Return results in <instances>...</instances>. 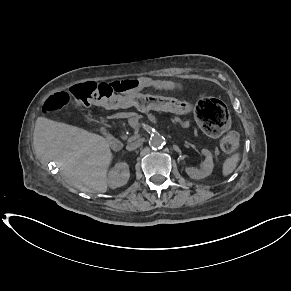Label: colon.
Listing matches in <instances>:
<instances>
[{"label": "colon", "mask_w": 291, "mask_h": 291, "mask_svg": "<svg viewBox=\"0 0 291 291\" xmlns=\"http://www.w3.org/2000/svg\"><path fill=\"white\" fill-rule=\"evenodd\" d=\"M131 85L127 81L85 82L76 84L67 91L51 95L43 105V112H53L75 103L77 107L94 105L117 109L135 106L141 112H171L175 118H187L194 110V116L202 130L209 135H220L229 126L230 117L226 106L217 98L204 97L187 101L185 96L172 97L171 93H143L130 95ZM236 132H229L221 139V148L233 152L238 147Z\"/></svg>", "instance_id": "colon-1"}]
</instances>
